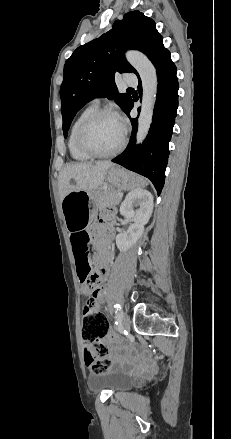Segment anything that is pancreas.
<instances>
[{
	"label": "pancreas",
	"mask_w": 231,
	"mask_h": 439,
	"mask_svg": "<svg viewBox=\"0 0 231 439\" xmlns=\"http://www.w3.org/2000/svg\"><path fill=\"white\" fill-rule=\"evenodd\" d=\"M121 201V197L115 190H105L99 197L98 202L101 206L116 205Z\"/></svg>",
	"instance_id": "1"
}]
</instances>
